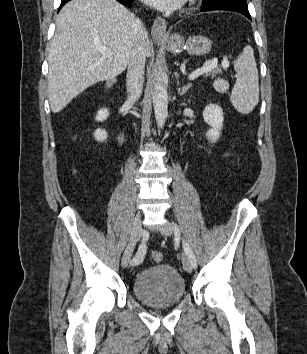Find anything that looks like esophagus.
<instances>
[{
	"mask_svg": "<svg viewBox=\"0 0 307 354\" xmlns=\"http://www.w3.org/2000/svg\"><path fill=\"white\" fill-rule=\"evenodd\" d=\"M166 28H167V23L165 19L162 17H156L154 19L152 28H151V34L153 39L161 41L166 38Z\"/></svg>",
	"mask_w": 307,
	"mask_h": 354,
	"instance_id": "esophagus-1",
	"label": "esophagus"
}]
</instances>
